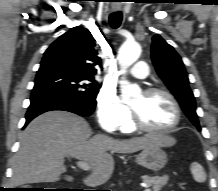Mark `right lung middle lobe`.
<instances>
[{"label": "right lung middle lobe", "mask_w": 218, "mask_h": 191, "mask_svg": "<svg viewBox=\"0 0 218 191\" xmlns=\"http://www.w3.org/2000/svg\"><path fill=\"white\" fill-rule=\"evenodd\" d=\"M42 89L60 91L93 104L98 93L94 78L52 59H43L37 72L33 91Z\"/></svg>", "instance_id": "right-lung-middle-lobe-1"}]
</instances>
